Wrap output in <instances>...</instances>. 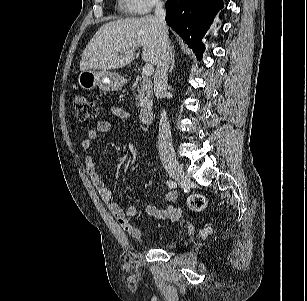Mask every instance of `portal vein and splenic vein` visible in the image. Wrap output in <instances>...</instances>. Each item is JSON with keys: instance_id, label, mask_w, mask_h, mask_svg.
Returning <instances> with one entry per match:
<instances>
[{"instance_id": "obj_1", "label": "portal vein and splenic vein", "mask_w": 307, "mask_h": 301, "mask_svg": "<svg viewBox=\"0 0 307 301\" xmlns=\"http://www.w3.org/2000/svg\"><path fill=\"white\" fill-rule=\"evenodd\" d=\"M131 53V51L126 52V54ZM114 55H118V53H114ZM154 72V67L151 63H146L143 67V74L145 76H151Z\"/></svg>"}]
</instances>
